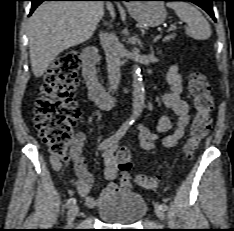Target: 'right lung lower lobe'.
<instances>
[{
    "instance_id": "1",
    "label": "right lung lower lobe",
    "mask_w": 234,
    "mask_h": 231,
    "mask_svg": "<svg viewBox=\"0 0 234 231\" xmlns=\"http://www.w3.org/2000/svg\"><path fill=\"white\" fill-rule=\"evenodd\" d=\"M32 1V8L30 14L36 9V7L43 1H101V0H30ZM102 1H119V0H102Z\"/></svg>"
}]
</instances>
